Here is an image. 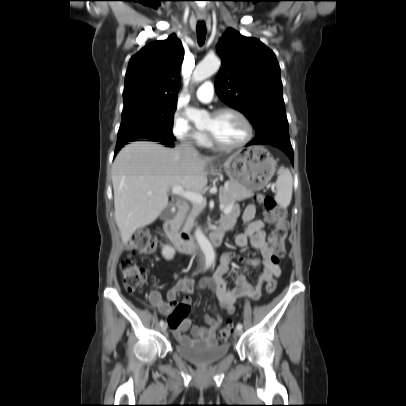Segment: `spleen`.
Segmentation results:
<instances>
[{"label": "spleen", "instance_id": "obj_1", "mask_svg": "<svg viewBox=\"0 0 406 406\" xmlns=\"http://www.w3.org/2000/svg\"><path fill=\"white\" fill-rule=\"evenodd\" d=\"M277 193L275 201L283 208L289 206L292 199L293 179L290 171L285 167H280L276 180Z\"/></svg>", "mask_w": 406, "mask_h": 406}]
</instances>
